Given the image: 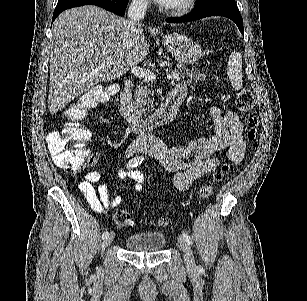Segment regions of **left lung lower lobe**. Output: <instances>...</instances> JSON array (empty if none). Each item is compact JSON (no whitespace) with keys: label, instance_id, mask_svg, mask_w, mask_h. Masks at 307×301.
Masks as SVG:
<instances>
[{"label":"left lung lower lobe","instance_id":"0a47b994","mask_svg":"<svg viewBox=\"0 0 307 301\" xmlns=\"http://www.w3.org/2000/svg\"><path fill=\"white\" fill-rule=\"evenodd\" d=\"M209 16H224L233 20L238 26L239 30L242 34H244L243 29V20L240 15L239 10H232L227 8H219V7H209L205 9H194L190 14L178 17V18H168L166 21L169 23H183L194 21L198 19H202L204 17Z\"/></svg>","mask_w":307,"mask_h":301}]
</instances>
